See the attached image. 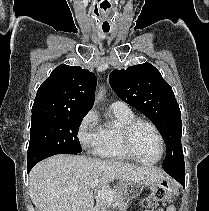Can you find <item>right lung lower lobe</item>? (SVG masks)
Returning <instances> with one entry per match:
<instances>
[{"label": "right lung lower lobe", "instance_id": "obj_1", "mask_svg": "<svg viewBox=\"0 0 209 211\" xmlns=\"http://www.w3.org/2000/svg\"><path fill=\"white\" fill-rule=\"evenodd\" d=\"M34 165H27V170L28 172L31 170V168L33 167Z\"/></svg>", "mask_w": 209, "mask_h": 211}]
</instances>
